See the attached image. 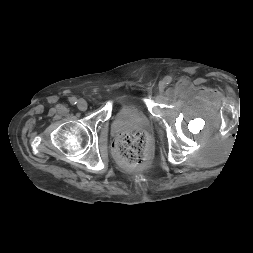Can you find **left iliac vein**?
<instances>
[{
	"label": "left iliac vein",
	"mask_w": 253,
	"mask_h": 253,
	"mask_svg": "<svg viewBox=\"0 0 253 253\" xmlns=\"http://www.w3.org/2000/svg\"><path fill=\"white\" fill-rule=\"evenodd\" d=\"M158 86H159V89L162 90L165 87V83L161 81Z\"/></svg>",
	"instance_id": "1"
}]
</instances>
